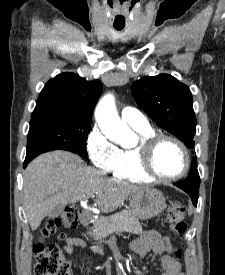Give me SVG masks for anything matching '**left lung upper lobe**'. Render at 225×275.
<instances>
[{
  "mask_svg": "<svg viewBox=\"0 0 225 275\" xmlns=\"http://www.w3.org/2000/svg\"><path fill=\"white\" fill-rule=\"evenodd\" d=\"M132 91L137 104L158 126L178 137L187 147H194L196 118L188 86L171 75L160 74L135 81ZM188 178L200 180L196 157Z\"/></svg>",
  "mask_w": 225,
  "mask_h": 275,
  "instance_id": "5c2ea615",
  "label": "left lung upper lobe"
}]
</instances>
